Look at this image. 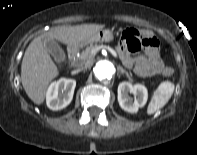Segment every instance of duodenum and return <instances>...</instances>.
<instances>
[{
	"mask_svg": "<svg viewBox=\"0 0 197 155\" xmlns=\"http://www.w3.org/2000/svg\"><path fill=\"white\" fill-rule=\"evenodd\" d=\"M76 52H77V50H76L75 47L69 48V50H68V58L72 59L76 55Z\"/></svg>",
	"mask_w": 197,
	"mask_h": 155,
	"instance_id": "1",
	"label": "duodenum"
}]
</instances>
